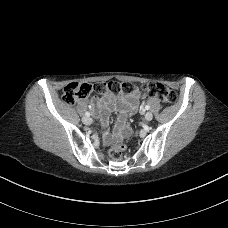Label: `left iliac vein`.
I'll return each instance as SVG.
<instances>
[{
  "instance_id": "4c4485c4",
  "label": "left iliac vein",
  "mask_w": 228,
  "mask_h": 228,
  "mask_svg": "<svg viewBox=\"0 0 228 228\" xmlns=\"http://www.w3.org/2000/svg\"><path fill=\"white\" fill-rule=\"evenodd\" d=\"M152 118H153V114H152L151 112H147V113L145 114V120H146V121H151Z\"/></svg>"
}]
</instances>
